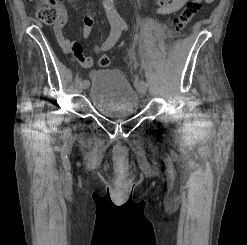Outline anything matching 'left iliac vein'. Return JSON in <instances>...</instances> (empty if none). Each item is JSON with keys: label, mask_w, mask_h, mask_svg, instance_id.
Returning <instances> with one entry per match:
<instances>
[{"label": "left iliac vein", "mask_w": 247, "mask_h": 245, "mask_svg": "<svg viewBox=\"0 0 247 245\" xmlns=\"http://www.w3.org/2000/svg\"><path fill=\"white\" fill-rule=\"evenodd\" d=\"M137 88L141 94H143V95L146 94V92H147V86L146 85L138 84Z\"/></svg>", "instance_id": "1"}]
</instances>
